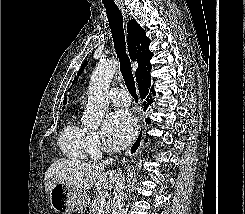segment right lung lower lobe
Wrapping results in <instances>:
<instances>
[{
	"label": "right lung lower lobe",
	"mask_w": 245,
	"mask_h": 214,
	"mask_svg": "<svg viewBox=\"0 0 245 214\" xmlns=\"http://www.w3.org/2000/svg\"><path fill=\"white\" fill-rule=\"evenodd\" d=\"M140 97L144 100V110L147 109L149 104L153 102L152 97L155 95L153 93V87L150 82V72L145 74L140 81H138ZM146 123L150 124L151 120L146 119Z\"/></svg>",
	"instance_id": "1"
}]
</instances>
